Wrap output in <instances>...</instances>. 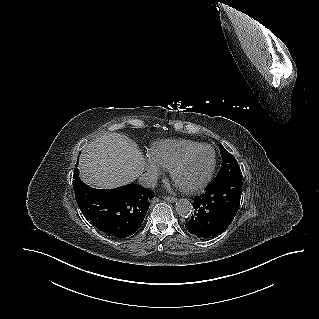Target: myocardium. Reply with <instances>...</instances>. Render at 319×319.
Here are the masks:
<instances>
[{
    "instance_id": "myocardium-1",
    "label": "myocardium",
    "mask_w": 319,
    "mask_h": 319,
    "mask_svg": "<svg viewBox=\"0 0 319 319\" xmlns=\"http://www.w3.org/2000/svg\"><path fill=\"white\" fill-rule=\"evenodd\" d=\"M202 148L210 149L212 151V154H213V161H212V164L210 166L209 171L207 172L204 179L200 183H198L197 185H195L193 187H189V188L180 187L176 182L177 172L184 166V164L192 157L193 154H195L198 150H200ZM216 164H217V154H216L215 149L208 144H199L196 147L185 152L173 164V166L170 169V176H171L172 181L180 188L181 191H183L184 193H187V194H194V193H197V192L203 190L209 184V182L211 181L213 174L215 172Z\"/></svg>"
}]
</instances>
